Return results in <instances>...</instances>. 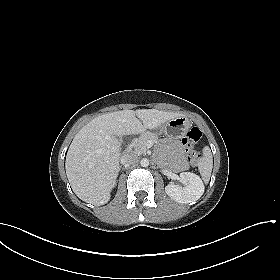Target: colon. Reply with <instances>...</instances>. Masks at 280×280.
<instances>
[{
    "label": "colon",
    "mask_w": 280,
    "mask_h": 280,
    "mask_svg": "<svg viewBox=\"0 0 280 280\" xmlns=\"http://www.w3.org/2000/svg\"><path fill=\"white\" fill-rule=\"evenodd\" d=\"M201 136V131L194 127L187 132L186 137L183 139V144L186 147L187 161L191 164H196L200 158L199 153L194 149V145L200 141Z\"/></svg>",
    "instance_id": "colon-1"
}]
</instances>
